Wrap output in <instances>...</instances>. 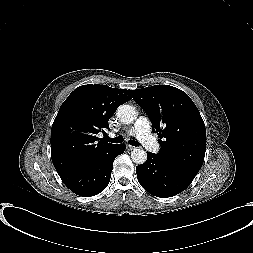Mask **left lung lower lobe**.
<instances>
[{
    "instance_id": "left-lung-lower-lobe-1",
    "label": "left lung lower lobe",
    "mask_w": 253,
    "mask_h": 253,
    "mask_svg": "<svg viewBox=\"0 0 253 253\" xmlns=\"http://www.w3.org/2000/svg\"><path fill=\"white\" fill-rule=\"evenodd\" d=\"M142 187L154 196L172 197L184 191L196 175L160 160L156 154L147 153L144 164L136 167Z\"/></svg>"
}]
</instances>
